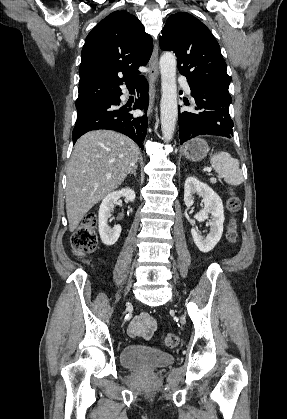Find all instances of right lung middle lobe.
Wrapping results in <instances>:
<instances>
[{
  "label": "right lung middle lobe",
  "mask_w": 287,
  "mask_h": 419,
  "mask_svg": "<svg viewBox=\"0 0 287 419\" xmlns=\"http://www.w3.org/2000/svg\"><path fill=\"white\" fill-rule=\"evenodd\" d=\"M109 99V98H108ZM106 100V99H105ZM105 100H102V101H99V102H95V103H92V104H89V105H84V106H76V108H77V116H80L81 114H83L84 112H86V111H88L89 109H91L92 107H94V106H97V105H99L101 102H103V101H105Z\"/></svg>",
  "instance_id": "obj_1"
}]
</instances>
